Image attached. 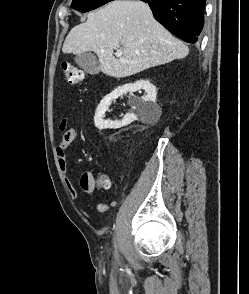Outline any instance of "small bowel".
I'll return each instance as SVG.
<instances>
[{"instance_id": "obj_1", "label": "small bowel", "mask_w": 249, "mask_h": 294, "mask_svg": "<svg viewBox=\"0 0 249 294\" xmlns=\"http://www.w3.org/2000/svg\"><path fill=\"white\" fill-rule=\"evenodd\" d=\"M59 128L63 131V135H62L60 143L58 144L56 148V155L58 159L59 168L63 173H65L67 169L66 152L68 147L72 144V142L77 137L78 131L74 127L68 128V124L66 120H63L60 122ZM64 182L69 191L71 198L75 199L77 197V190L75 189L71 180L67 176H65ZM80 187L82 191L91 198L97 212L105 213L110 211L115 206L114 202L103 203V202H99L95 200L94 194L96 191V186H95L94 178L92 177L90 173H85L84 175H82L80 179ZM81 212L85 217L90 218L87 212H85L84 210H81Z\"/></svg>"}]
</instances>
